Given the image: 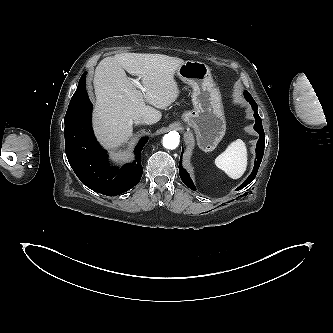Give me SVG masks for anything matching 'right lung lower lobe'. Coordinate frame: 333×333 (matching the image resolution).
<instances>
[{
    "instance_id": "right-lung-lower-lobe-1",
    "label": "right lung lower lobe",
    "mask_w": 333,
    "mask_h": 333,
    "mask_svg": "<svg viewBox=\"0 0 333 333\" xmlns=\"http://www.w3.org/2000/svg\"><path fill=\"white\" fill-rule=\"evenodd\" d=\"M85 75H82L65 115L67 159L77 177L88 188L107 196L119 195L139 183L143 172L140 154L148 137L142 138L136 146L134 162L120 169L111 167L108 155L96 141L91 127L92 104L86 92Z\"/></svg>"
}]
</instances>
